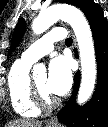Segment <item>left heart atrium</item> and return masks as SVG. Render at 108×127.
I'll use <instances>...</instances> for the list:
<instances>
[{
  "mask_svg": "<svg viewBox=\"0 0 108 127\" xmlns=\"http://www.w3.org/2000/svg\"><path fill=\"white\" fill-rule=\"evenodd\" d=\"M72 83V68L70 61L63 57H55L49 65L46 80L47 91L55 96L65 94Z\"/></svg>",
  "mask_w": 108,
  "mask_h": 127,
  "instance_id": "left-heart-atrium-1",
  "label": "left heart atrium"
}]
</instances>
